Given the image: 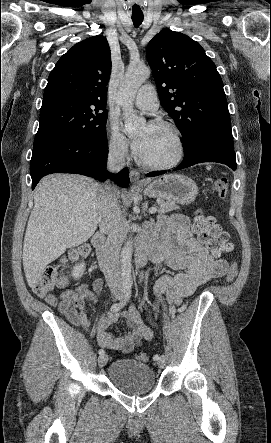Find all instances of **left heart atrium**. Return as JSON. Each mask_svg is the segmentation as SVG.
Instances as JSON below:
<instances>
[{
    "label": "left heart atrium",
    "instance_id": "left-heart-atrium-1",
    "mask_svg": "<svg viewBox=\"0 0 271 443\" xmlns=\"http://www.w3.org/2000/svg\"><path fill=\"white\" fill-rule=\"evenodd\" d=\"M148 127L149 125L144 127V129L138 134L136 138H134L132 142V146L138 154H141L146 147L148 139Z\"/></svg>",
    "mask_w": 271,
    "mask_h": 443
}]
</instances>
